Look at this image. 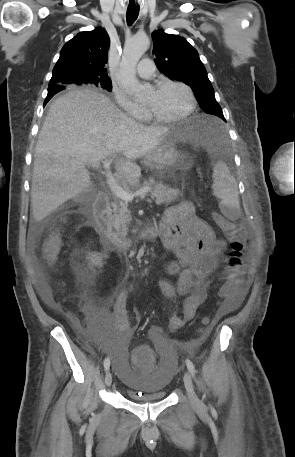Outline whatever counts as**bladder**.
I'll return each mask as SVG.
<instances>
[{"instance_id": "31cf9c89", "label": "bladder", "mask_w": 295, "mask_h": 457, "mask_svg": "<svg viewBox=\"0 0 295 457\" xmlns=\"http://www.w3.org/2000/svg\"><path fill=\"white\" fill-rule=\"evenodd\" d=\"M98 347L104 348L106 360H112L116 365V372L126 387L127 396L136 402H150L163 400L167 396L166 388L171 380V371L177 369V355L173 345L166 342H157L156 350L161 354V364L157 366L156 374H133L130 365L128 338H98Z\"/></svg>"}]
</instances>
